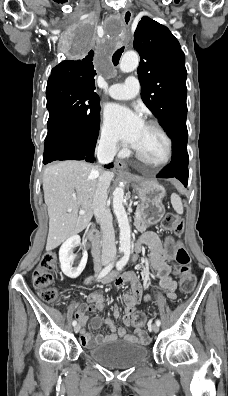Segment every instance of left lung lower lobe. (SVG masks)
<instances>
[{"instance_id":"left-lung-lower-lobe-1","label":"left lung lower lobe","mask_w":228,"mask_h":396,"mask_svg":"<svg viewBox=\"0 0 228 396\" xmlns=\"http://www.w3.org/2000/svg\"><path fill=\"white\" fill-rule=\"evenodd\" d=\"M187 114L176 116L164 130L172 139V160L156 177L177 178L185 187L188 184V152L186 127Z\"/></svg>"}]
</instances>
